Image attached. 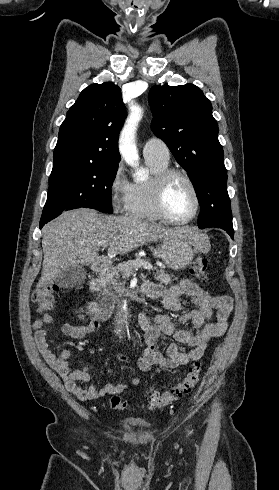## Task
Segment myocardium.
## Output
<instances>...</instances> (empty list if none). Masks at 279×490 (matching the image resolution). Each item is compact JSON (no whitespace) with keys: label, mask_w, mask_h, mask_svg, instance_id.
<instances>
[{"label":"myocardium","mask_w":279,"mask_h":490,"mask_svg":"<svg viewBox=\"0 0 279 490\" xmlns=\"http://www.w3.org/2000/svg\"><path fill=\"white\" fill-rule=\"evenodd\" d=\"M176 178L184 179L191 186L195 198V205H194L193 212L188 218L183 220H178L173 218L170 215L166 204L167 194L170 185ZM154 204L158 215L163 220L177 225L187 224L195 219L200 209L201 198H200L198 186L193 180V178L184 170L176 169V168H167L161 173H159V175L157 176L156 188L154 194Z\"/></svg>","instance_id":"1"}]
</instances>
